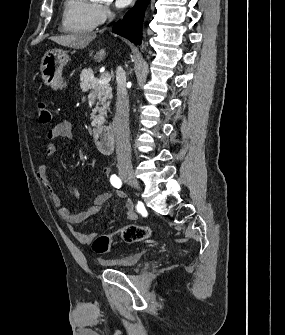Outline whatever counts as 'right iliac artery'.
<instances>
[{"label":"right iliac artery","mask_w":285,"mask_h":335,"mask_svg":"<svg viewBox=\"0 0 285 335\" xmlns=\"http://www.w3.org/2000/svg\"><path fill=\"white\" fill-rule=\"evenodd\" d=\"M110 182L115 188H120L122 185L121 179L117 177L116 175L111 176Z\"/></svg>","instance_id":"obj_1"}]
</instances>
